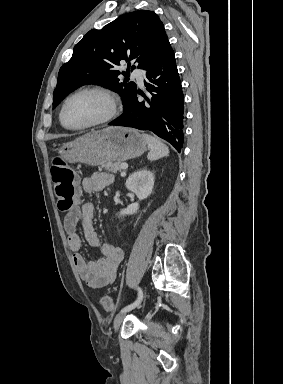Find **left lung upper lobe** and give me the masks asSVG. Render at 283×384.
<instances>
[{"label": "left lung upper lobe", "mask_w": 283, "mask_h": 384, "mask_svg": "<svg viewBox=\"0 0 283 384\" xmlns=\"http://www.w3.org/2000/svg\"><path fill=\"white\" fill-rule=\"evenodd\" d=\"M167 42L162 21L148 10L127 13L101 30H90L75 45L71 59L60 68L53 106L79 86L99 84L119 93L125 107L137 86L134 82H121L117 66L121 61L128 62L127 72H122L124 76L130 71L131 60L144 69Z\"/></svg>", "instance_id": "left-lung-upper-lobe-1"}]
</instances>
